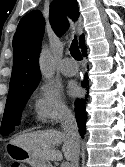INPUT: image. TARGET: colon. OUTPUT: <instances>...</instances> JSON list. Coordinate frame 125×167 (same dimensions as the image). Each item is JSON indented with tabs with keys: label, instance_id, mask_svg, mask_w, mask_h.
<instances>
[{
	"label": "colon",
	"instance_id": "colon-1",
	"mask_svg": "<svg viewBox=\"0 0 125 167\" xmlns=\"http://www.w3.org/2000/svg\"><path fill=\"white\" fill-rule=\"evenodd\" d=\"M17 167H26L25 165H19V166H17Z\"/></svg>",
	"mask_w": 125,
	"mask_h": 167
}]
</instances>
